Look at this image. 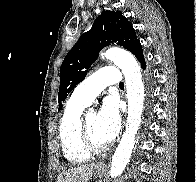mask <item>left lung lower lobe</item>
Masks as SVG:
<instances>
[{
  "instance_id": "1",
  "label": "left lung lower lobe",
  "mask_w": 196,
  "mask_h": 182,
  "mask_svg": "<svg viewBox=\"0 0 196 182\" xmlns=\"http://www.w3.org/2000/svg\"><path fill=\"white\" fill-rule=\"evenodd\" d=\"M139 61H140V63H141V67H142L143 69H145L146 64H145L144 56H143Z\"/></svg>"
}]
</instances>
